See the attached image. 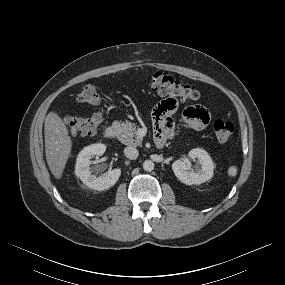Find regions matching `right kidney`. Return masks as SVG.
<instances>
[{"label": "right kidney", "instance_id": "1", "mask_svg": "<svg viewBox=\"0 0 285 285\" xmlns=\"http://www.w3.org/2000/svg\"><path fill=\"white\" fill-rule=\"evenodd\" d=\"M106 150L104 144H92L79 152L75 165V175L89 188L104 191L114 186L121 175V169L115 168L101 176L92 174L90 164L93 156H102Z\"/></svg>", "mask_w": 285, "mask_h": 285}]
</instances>
